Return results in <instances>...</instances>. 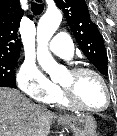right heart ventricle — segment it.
<instances>
[{"label":"right heart ventricle","mask_w":117,"mask_h":136,"mask_svg":"<svg viewBox=\"0 0 117 136\" xmlns=\"http://www.w3.org/2000/svg\"><path fill=\"white\" fill-rule=\"evenodd\" d=\"M55 103L61 105V106H67V102L65 101L63 94L61 93V91L59 90L58 93L56 94L54 101Z\"/></svg>","instance_id":"right-heart-ventricle-1"}]
</instances>
